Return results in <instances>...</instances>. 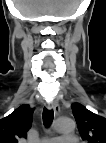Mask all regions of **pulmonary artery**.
<instances>
[{"label":"pulmonary artery","mask_w":106,"mask_h":143,"mask_svg":"<svg viewBox=\"0 0 106 143\" xmlns=\"http://www.w3.org/2000/svg\"><path fill=\"white\" fill-rule=\"evenodd\" d=\"M63 140L69 141V142H75L77 140V138L75 136H65V137H58V138H54L51 140V142L53 143H57V142H61Z\"/></svg>","instance_id":"e3ab8cb5"}]
</instances>
